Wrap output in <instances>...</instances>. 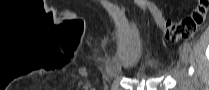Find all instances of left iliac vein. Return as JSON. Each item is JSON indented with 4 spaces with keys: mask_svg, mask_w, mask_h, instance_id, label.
Instances as JSON below:
<instances>
[{
    "mask_svg": "<svg viewBox=\"0 0 209 90\" xmlns=\"http://www.w3.org/2000/svg\"><path fill=\"white\" fill-rule=\"evenodd\" d=\"M180 58L183 64H187L188 63V52L184 47L180 48Z\"/></svg>",
    "mask_w": 209,
    "mask_h": 90,
    "instance_id": "1",
    "label": "left iliac vein"
}]
</instances>
